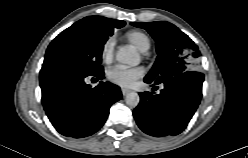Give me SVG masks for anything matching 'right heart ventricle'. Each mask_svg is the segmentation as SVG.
<instances>
[{"label":"right heart ventricle","mask_w":248,"mask_h":158,"mask_svg":"<svg viewBox=\"0 0 248 158\" xmlns=\"http://www.w3.org/2000/svg\"><path fill=\"white\" fill-rule=\"evenodd\" d=\"M127 39L139 51L145 52L150 47V40L143 32L131 31L127 34Z\"/></svg>","instance_id":"e07e8e85"}]
</instances>
